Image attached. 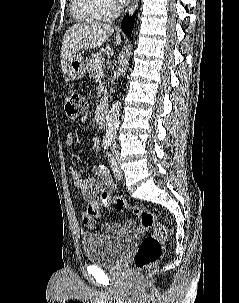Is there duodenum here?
Wrapping results in <instances>:
<instances>
[{
  "label": "duodenum",
  "instance_id": "1",
  "mask_svg": "<svg viewBox=\"0 0 239 303\" xmlns=\"http://www.w3.org/2000/svg\"><path fill=\"white\" fill-rule=\"evenodd\" d=\"M107 116H108V113H107L106 110H103V111H101V112L98 114L97 122H98V125H99L101 128H105V127H106V124H107Z\"/></svg>",
  "mask_w": 239,
  "mask_h": 303
}]
</instances>
